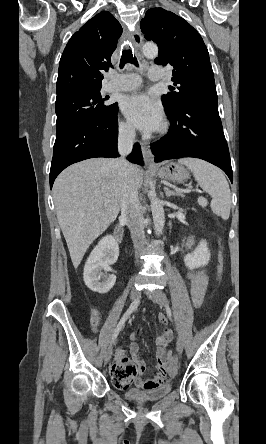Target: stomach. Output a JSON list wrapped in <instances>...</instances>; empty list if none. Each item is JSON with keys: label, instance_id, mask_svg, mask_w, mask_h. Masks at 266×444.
<instances>
[{"label": "stomach", "instance_id": "stomach-1", "mask_svg": "<svg viewBox=\"0 0 266 444\" xmlns=\"http://www.w3.org/2000/svg\"><path fill=\"white\" fill-rule=\"evenodd\" d=\"M157 174L159 177L172 181L181 183L189 177V172L181 164L170 162L161 168H158Z\"/></svg>", "mask_w": 266, "mask_h": 444}]
</instances>
